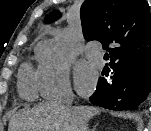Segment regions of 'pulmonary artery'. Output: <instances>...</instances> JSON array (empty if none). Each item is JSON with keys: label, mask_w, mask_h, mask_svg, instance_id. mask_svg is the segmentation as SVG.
<instances>
[{"label": "pulmonary artery", "mask_w": 151, "mask_h": 131, "mask_svg": "<svg viewBox=\"0 0 151 131\" xmlns=\"http://www.w3.org/2000/svg\"><path fill=\"white\" fill-rule=\"evenodd\" d=\"M87 53L94 59L97 65L102 68L104 66L103 54L100 50L94 47H87Z\"/></svg>", "instance_id": "e3ab8cb5"}]
</instances>
